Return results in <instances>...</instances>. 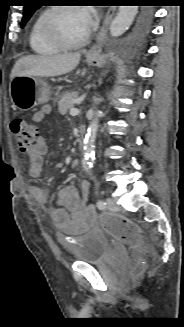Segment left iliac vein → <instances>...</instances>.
Returning a JSON list of instances; mask_svg holds the SVG:
<instances>
[{"instance_id": "left-iliac-vein-1", "label": "left iliac vein", "mask_w": 184, "mask_h": 327, "mask_svg": "<svg viewBox=\"0 0 184 327\" xmlns=\"http://www.w3.org/2000/svg\"><path fill=\"white\" fill-rule=\"evenodd\" d=\"M106 203H107V207H108L109 210L115 211V210L118 209V207H117L116 202L114 201V199L107 198L106 199Z\"/></svg>"}]
</instances>
